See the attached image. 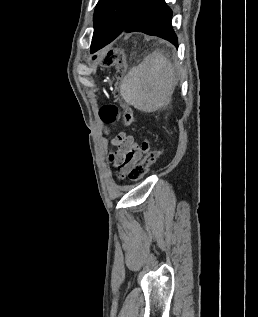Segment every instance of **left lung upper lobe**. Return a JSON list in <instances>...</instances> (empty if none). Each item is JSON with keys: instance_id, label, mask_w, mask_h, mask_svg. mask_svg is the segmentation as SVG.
<instances>
[{"instance_id": "5c2ea615", "label": "left lung upper lobe", "mask_w": 258, "mask_h": 317, "mask_svg": "<svg viewBox=\"0 0 258 317\" xmlns=\"http://www.w3.org/2000/svg\"><path fill=\"white\" fill-rule=\"evenodd\" d=\"M131 0H99L94 13V29L119 28L124 24Z\"/></svg>"}]
</instances>
